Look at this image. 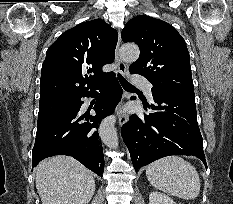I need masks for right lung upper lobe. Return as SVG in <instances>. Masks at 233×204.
I'll list each match as a JSON object with an SVG mask.
<instances>
[{
  "label": "right lung upper lobe",
  "instance_id": "cb5924a9",
  "mask_svg": "<svg viewBox=\"0 0 233 204\" xmlns=\"http://www.w3.org/2000/svg\"><path fill=\"white\" fill-rule=\"evenodd\" d=\"M117 39V31L101 19L64 32L47 50L40 103L76 98L102 85L114 74L102 72V66L114 61Z\"/></svg>",
  "mask_w": 233,
  "mask_h": 204
}]
</instances>
